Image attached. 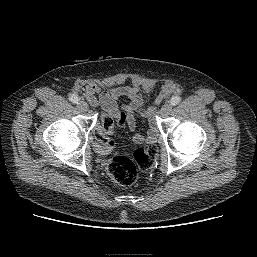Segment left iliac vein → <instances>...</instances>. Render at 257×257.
Listing matches in <instances>:
<instances>
[{
    "label": "left iliac vein",
    "mask_w": 257,
    "mask_h": 257,
    "mask_svg": "<svg viewBox=\"0 0 257 257\" xmlns=\"http://www.w3.org/2000/svg\"><path fill=\"white\" fill-rule=\"evenodd\" d=\"M171 110H172V105H171V104H165V105L161 108V110H160V115H161V116H167V115L170 114Z\"/></svg>",
    "instance_id": "1"
}]
</instances>
